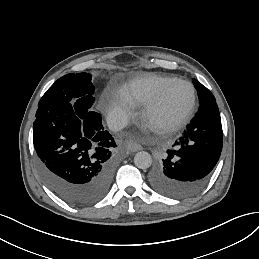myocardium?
Instances as JSON below:
<instances>
[{
	"mask_svg": "<svg viewBox=\"0 0 259 259\" xmlns=\"http://www.w3.org/2000/svg\"><path fill=\"white\" fill-rule=\"evenodd\" d=\"M177 82H184L189 86L191 91L190 100L181 111L167 120L165 125L159 129L161 132L172 133L177 131L189 118L196 105V88L194 84L186 78L174 76L163 84L158 94L154 98L148 100L144 104L141 117L148 119L154 112H156L163 105L168 89Z\"/></svg>",
	"mask_w": 259,
	"mask_h": 259,
	"instance_id": "1",
	"label": "myocardium"
}]
</instances>
